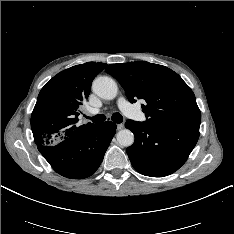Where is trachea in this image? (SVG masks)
I'll return each mask as SVG.
<instances>
[{
	"label": "trachea",
	"instance_id": "3493384b",
	"mask_svg": "<svg viewBox=\"0 0 234 234\" xmlns=\"http://www.w3.org/2000/svg\"><path fill=\"white\" fill-rule=\"evenodd\" d=\"M87 118L90 119L94 123H101V122L106 120V116L104 114H98L96 116L87 117ZM111 119L115 123H121L123 121V117H122V115L120 113H114L112 115Z\"/></svg>",
	"mask_w": 234,
	"mask_h": 234
}]
</instances>
